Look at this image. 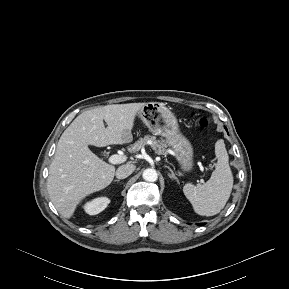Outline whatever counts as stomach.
Wrapping results in <instances>:
<instances>
[{"mask_svg": "<svg viewBox=\"0 0 289 289\" xmlns=\"http://www.w3.org/2000/svg\"><path fill=\"white\" fill-rule=\"evenodd\" d=\"M150 132L166 138L172 147L183 172L193 169V148L189 140L180 132L176 116L160 102H149L137 113Z\"/></svg>", "mask_w": 289, "mask_h": 289, "instance_id": "stomach-1", "label": "stomach"}]
</instances>
